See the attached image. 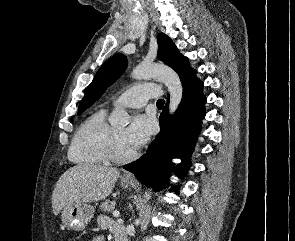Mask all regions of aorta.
Segmentation results:
<instances>
[{"label": "aorta", "mask_w": 295, "mask_h": 241, "mask_svg": "<svg viewBox=\"0 0 295 241\" xmlns=\"http://www.w3.org/2000/svg\"><path fill=\"white\" fill-rule=\"evenodd\" d=\"M131 77L137 80L157 78L163 82L168 88L170 95L169 112L170 114H174L181 102L183 94L180 78L174 70L165 65L141 63L133 69ZM109 122L112 126L124 127L129 124L130 116L124 109L116 108L109 116ZM150 198L151 190L149 189L145 192L144 202H147Z\"/></svg>", "instance_id": "obj_1"}]
</instances>
